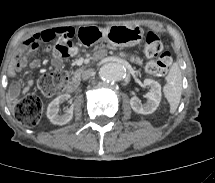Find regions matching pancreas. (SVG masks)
<instances>
[{
    "label": "pancreas",
    "mask_w": 215,
    "mask_h": 183,
    "mask_svg": "<svg viewBox=\"0 0 215 183\" xmlns=\"http://www.w3.org/2000/svg\"><path fill=\"white\" fill-rule=\"evenodd\" d=\"M107 48L113 49V47H111V46H107ZM120 56L123 57V58H126L128 55L123 53V52H121ZM129 58H130V61L132 63H136L138 65H142V63H143V60H141L138 56H130ZM83 71H84V68L82 67V68L76 69L75 71H71L70 73L74 77H79L82 74Z\"/></svg>",
    "instance_id": "pancreas-1"
}]
</instances>
